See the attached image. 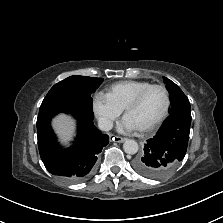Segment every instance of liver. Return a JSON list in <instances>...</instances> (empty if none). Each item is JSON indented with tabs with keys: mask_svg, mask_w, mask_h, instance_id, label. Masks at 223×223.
Wrapping results in <instances>:
<instances>
[{
	"mask_svg": "<svg viewBox=\"0 0 223 223\" xmlns=\"http://www.w3.org/2000/svg\"><path fill=\"white\" fill-rule=\"evenodd\" d=\"M52 126L61 142L68 143L74 135L75 122L69 116L59 115L52 121Z\"/></svg>",
	"mask_w": 223,
	"mask_h": 223,
	"instance_id": "obj_1",
	"label": "liver"
}]
</instances>
